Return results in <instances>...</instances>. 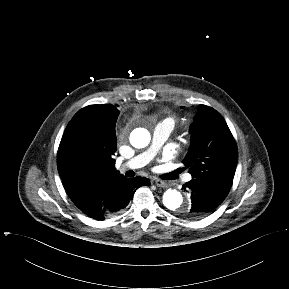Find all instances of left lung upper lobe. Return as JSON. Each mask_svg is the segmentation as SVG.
<instances>
[{
	"mask_svg": "<svg viewBox=\"0 0 289 289\" xmlns=\"http://www.w3.org/2000/svg\"><path fill=\"white\" fill-rule=\"evenodd\" d=\"M190 133L191 147L183 162L189 167L193 179L215 181L231 187L238 150L221 114L200 105Z\"/></svg>",
	"mask_w": 289,
	"mask_h": 289,
	"instance_id": "obj_1",
	"label": "left lung upper lobe"
}]
</instances>
